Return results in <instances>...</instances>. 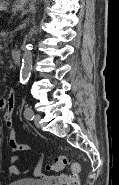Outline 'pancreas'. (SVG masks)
Returning <instances> with one entry per match:
<instances>
[{
	"label": "pancreas",
	"mask_w": 119,
	"mask_h": 185,
	"mask_svg": "<svg viewBox=\"0 0 119 185\" xmlns=\"http://www.w3.org/2000/svg\"><path fill=\"white\" fill-rule=\"evenodd\" d=\"M2 37L4 38V40L6 39V37H7V33L6 32H3L2 34Z\"/></svg>",
	"instance_id": "1"
}]
</instances>
